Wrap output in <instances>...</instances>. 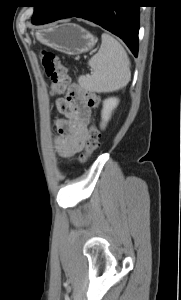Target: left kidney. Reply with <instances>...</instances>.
<instances>
[{"instance_id":"left-kidney-1","label":"left kidney","mask_w":181,"mask_h":300,"mask_svg":"<svg viewBox=\"0 0 181 300\" xmlns=\"http://www.w3.org/2000/svg\"><path fill=\"white\" fill-rule=\"evenodd\" d=\"M119 103V99L115 97H110L105 99L103 102V109H102V123L101 128L104 129L106 127L107 122L111 118L112 111L117 107Z\"/></svg>"}]
</instances>
